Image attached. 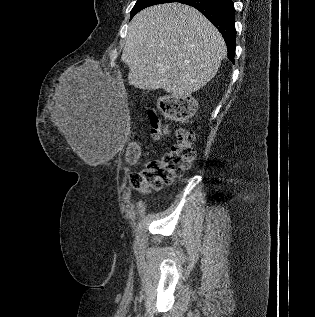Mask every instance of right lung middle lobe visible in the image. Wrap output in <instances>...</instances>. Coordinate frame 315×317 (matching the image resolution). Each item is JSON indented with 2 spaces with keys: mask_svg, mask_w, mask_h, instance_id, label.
<instances>
[{
  "mask_svg": "<svg viewBox=\"0 0 315 317\" xmlns=\"http://www.w3.org/2000/svg\"><path fill=\"white\" fill-rule=\"evenodd\" d=\"M170 2H177V0H138L131 11V18L140 10L146 7L156 5V4L170 3Z\"/></svg>",
  "mask_w": 315,
  "mask_h": 317,
  "instance_id": "obj_1",
  "label": "right lung middle lobe"
}]
</instances>
